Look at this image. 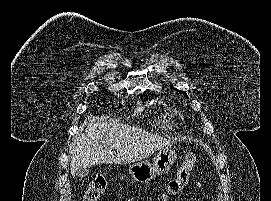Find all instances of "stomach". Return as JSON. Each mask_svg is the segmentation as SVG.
<instances>
[{"label": "stomach", "instance_id": "stomach-1", "mask_svg": "<svg viewBox=\"0 0 271 201\" xmlns=\"http://www.w3.org/2000/svg\"><path fill=\"white\" fill-rule=\"evenodd\" d=\"M176 151L169 148H163L158 151L153 159V163L148 161L136 162L129 166V174L134 181L146 183L151 181L157 175L166 174L173 166L176 160Z\"/></svg>", "mask_w": 271, "mask_h": 201}]
</instances>
